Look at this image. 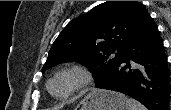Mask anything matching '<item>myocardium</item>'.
Masks as SVG:
<instances>
[{
    "instance_id": "myocardium-1",
    "label": "myocardium",
    "mask_w": 171,
    "mask_h": 110,
    "mask_svg": "<svg viewBox=\"0 0 171 110\" xmlns=\"http://www.w3.org/2000/svg\"><path fill=\"white\" fill-rule=\"evenodd\" d=\"M63 76H70L72 78V82L63 94L56 95L52 92V84L55 80ZM93 83L94 76L89 68L81 64H69L54 72L47 82V91L52 97L58 100H65L74 94L89 88Z\"/></svg>"
}]
</instances>
